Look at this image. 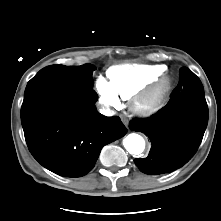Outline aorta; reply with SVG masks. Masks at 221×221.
<instances>
[{
  "mask_svg": "<svg viewBox=\"0 0 221 221\" xmlns=\"http://www.w3.org/2000/svg\"><path fill=\"white\" fill-rule=\"evenodd\" d=\"M123 145L130 154L139 155L145 149V140L139 134L131 133L123 140Z\"/></svg>",
  "mask_w": 221,
  "mask_h": 221,
  "instance_id": "aorta-1",
  "label": "aorta"
}]
</instances>
